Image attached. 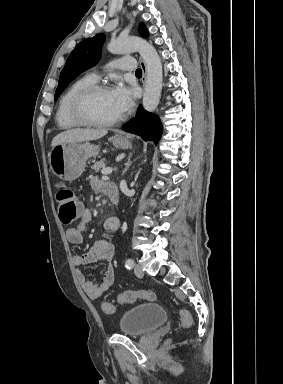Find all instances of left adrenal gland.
<instances>
[{"label": "left adrenal gland", "instance_id": "1", "mask_svg": "<svg viewBox=\"0 0 283 384\" xmlns=\"http://www.w3.org/2000/svg\"><path fill=\"white\" fill-rule=\"evenodd\" d=\"M132 154H133V152H130V154H129V156H128V162H127V164H125V168H124V170H123V172H122V176H123V174H125V172H127L129 166H131V164H132V162H131V160H130Z\"/></svg>", "mask_w": 283, "mask_h": 384}]
</instances>
